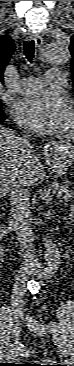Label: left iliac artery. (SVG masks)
I'll list each match as a JSON object with an SVG mask.
<instances>
[{
	"mask_svg": "<svg viewBox=\"0 0 74 366\" xmlns=\"http://www.w3.org/2000/svg\"><path fill=\"white\" fill-rule=\"evenodd\" d=\"M50 327L52 328V331L55 335L57 336H61L60 335V330H59V326L56 322L52 321L50 322ZM62 337V336H61ZM59 340H61L62 343H65L61 338H58ZM60 347H62V345H59Z\"/></svg>",
	"mask_w": 74,
	"mask_h": 366,
	"instance_id": "1",
	"label": "left iliac artery"
}]
</instances>
